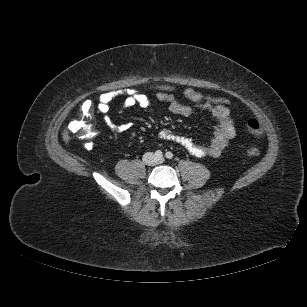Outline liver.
Returning <instances> with one entry per match:
<instances>
[{"mask_svg": "<svg viewBox=\"0 0 307 307\" xmlns=\"http://www.w3.org/2000/svg\"><path fill=\"white\" fill-rule=\"evenodd\" d=\"M145 91L147 92H154L156 91V89H158V91L160 92H181L184 89L183 84L181 83H160L158 84V86H156V84L154 83H147L144 86ZM63 135V140L65 141V143H68L70 140V137L68 135V132L66 130L63 131L62 133Z\"/></svg>", "mask_w": 307, "mask_h": 307, "instance_id": "1", "label": "liver"}]
</instances>
